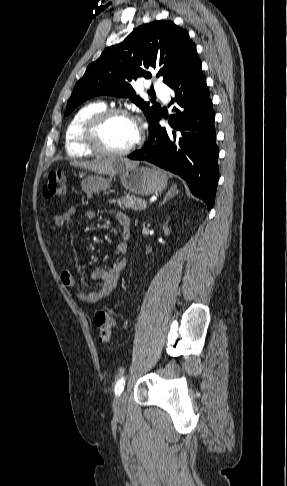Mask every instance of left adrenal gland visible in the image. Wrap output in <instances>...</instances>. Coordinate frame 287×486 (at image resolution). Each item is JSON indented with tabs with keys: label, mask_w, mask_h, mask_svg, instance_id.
I'll return each mask as SVG.
<instances>
[{
	"label": "left adrenal gland",
	"mask_w": 287,
	"mask_h": 486,
	"mask_svg": "<svg viewBox=\"0 0 287 486\" xmlns=\"http://www.w3.org/2000/svg\"><path fill=\"white\" fill-rule=\"evenodd\" d=\"M177 193L178 191L176 190V185L174 184L167 192V194L165 195L163 201L159 204V206L164 205L170 198L174 197Z\"/></svg>",
	"instance_id": "1"
}]
</instances>
